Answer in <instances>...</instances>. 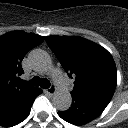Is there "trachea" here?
<instances>
[{
    "label": "trachea",
    "instance_id": "trachea-1",
    "mask_svg": "<svg viewBox=\"0 0 128 128\" xmlns=\"http://www.w3.org/2000/svg\"><path fill=\"white\" fill-rule=\"evenodd\" d=\"M29 84L32 86H40L41 88L47 89L50 87V82L47 79H40L38 76L33 77Z\"/></svg>",
    "mask_w": 128,
    "mask_h": 128
}]
</instances>
